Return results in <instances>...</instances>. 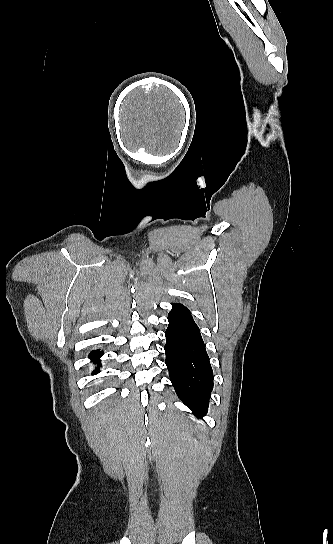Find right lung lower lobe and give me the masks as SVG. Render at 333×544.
Here are the masks:
<instances>
[{"label": "right lung lower lobe", "mask_w": 333, "mask_h": 544, "mask_svg": "<svg viewBox=\"0 0 333 544\" xmlns=\"http://www.w3.org/2000/svg\"><path fill=\"white\" fill-rule=\"evenodd\" d=\"M103 355V351L100 350H94L89 354V358L92 360L94 364H97L100 366V357ZM99 368H96L92 374H97L99 372Z\"/></svg>", "instance_id": "1"}]
</instances>
